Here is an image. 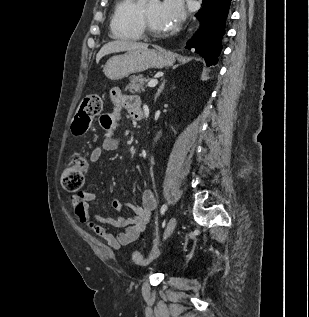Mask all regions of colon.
I'll use <instances>...</instances> for the list:
<instances>
[{"mask_svg":"<svg viewBox=\"0 0 309 317\" xmlns=\"http://www.w3.org/2000/svg\"><path fill=\"white\" fill-rule=\"evenodd\" d=\"M103 108V101L99 95L86 96L80 103L79 108L72 122V130L76 135L85 134L93 119L98 116ZM87 170L86 161L79 155H74L67 160L60 175L62 188L70 193L78 192L84 183L85 172ZM133 259L138 264H143L142 256L135 252Z\"/></svg>","mask_w":309,"mask_h":317,"instance_id":"colon-1","label":"colon"}]
</instances>
